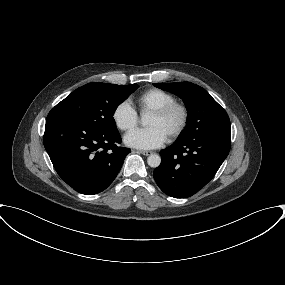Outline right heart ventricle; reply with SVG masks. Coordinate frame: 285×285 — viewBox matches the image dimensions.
<instances>
[{"label": "right heart ventricle", "mask_w": 285, "mask_h": 285, "mask_svg": "<svg viewBox=\"0 0 285 285\" xmlns=\"http://www.w3.org/2000/svg\"><path fill=\"white\" fill-rule=\"evenodd\" d=\"M175 101L173 94L159 88H150L140 93L135 102L141 113L150 112Z\"/></svg>", "instance_id": "1"}]
</instances>
